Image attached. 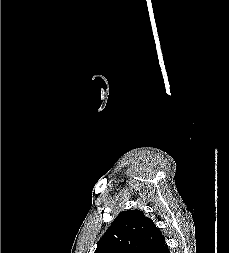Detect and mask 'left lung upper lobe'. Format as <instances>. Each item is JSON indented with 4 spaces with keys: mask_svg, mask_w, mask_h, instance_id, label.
I'll return each instance as SVG.
<instances>
[{
    "mask_svg": "<svg viewBox=\"0 0 229 253\" xmlns=\"http://www.w3.org/2000/svg\"><path fill=\"white\" fill-rule=\"evenodd\" d=\"M164 237L139 210L121 212L105 232L94 253H155Z\"/></svg>",
    "mask_w": 229,
    "mask_h": 253,
    "instance_id": "left-lung-upper-lobe-1",
    "label": "left lung upper lobe"
}]
</instances>
